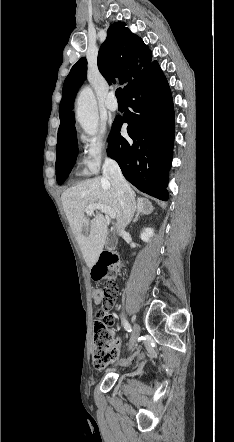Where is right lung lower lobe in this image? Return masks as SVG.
Here are the masks:
<instances>
[{"label":"right lung lower lobe","mask_w":234,"mask_h":442,"mask_svg":"<svg viewBox=\"0 0 234 442\" xmlns=\"http://www.w3.org/2000/svg\"><path fill=\"white\" fill-rule=\"evenodd\" d=\"M126 110L116 118L109 135L108 155L119 164L125 178L139 190L160 200L168 199V171L174 143V108L167 80L159 65L133 79L124 91ZM128 123L130 139L120 135Z\"/></svg>","instance_id":"obj_1"}]
</instances>
